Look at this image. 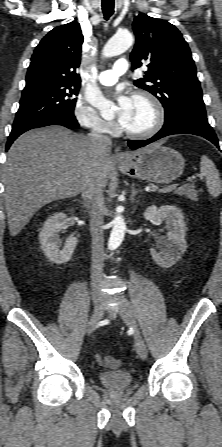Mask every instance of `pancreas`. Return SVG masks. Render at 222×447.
<instances>
[{
	"label": "pancreas",
	"mask_w": 222,
	"mask_h": 447,
	"mask_svg": "<svg viewBox=\"0 0 222 447\" xmlns=\"http://www.w3.org/2000/svg\"><path fill=\"white\" fill-rule=\"evenodd\" d=\"M152 187V191H155L154 186ZM198 192L195 190V187L190 184L183 185L174 190V194L185 196L190 200L197 201L198 200Z\"/></svg>",
	"instance_id": "1"
}]
</instances>
